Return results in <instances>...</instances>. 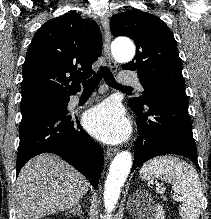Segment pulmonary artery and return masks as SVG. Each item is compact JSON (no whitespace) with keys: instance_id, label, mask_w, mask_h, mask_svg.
I'll list each match as a JSON object with an SVG mask.
<instances>
[{"instance_id":"pulmonary-artery-1","label":"pulmonary artery","mask_w":211,"mask_h":219,"mask_svg":"<svg viewBox=\"0 0 211 219\" xmlns=\"http://www.w3.org/2000/svg\"><path fill=\"white\" fill-rule=\"evenodd\" d=\"M119 80L121 81V83L132 84V85L136 86L140 91L143 90V86L140 83V81L138 80V78L127 73V72L120 73ZM77 101H78V97H73L71 99V104H75Z\"/></svg>"}]
</instances>
